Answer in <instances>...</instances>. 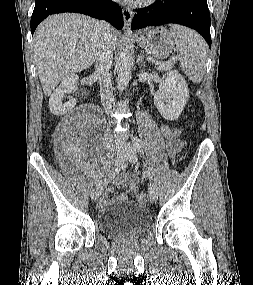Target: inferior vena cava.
<instances>
[{
  "label": "inferior vena cava",
  "instance_id": "obj_1",
  "mask_svg": "<svg viewBox=\"0 0 253 285\" xmlns=\"http://www.w3.org/2000/svg\"><path fill=\"white\" fill-rule=\"evenodd\" d=\"M110 25L100 22V42L96 55V72L100 76V96L104 108L112 107L113 91L109 71L112 66L114 45L109 34Z\"/></svg>",
  "mask_w": 253,
  "mask_h": 285
}]
</instances>
